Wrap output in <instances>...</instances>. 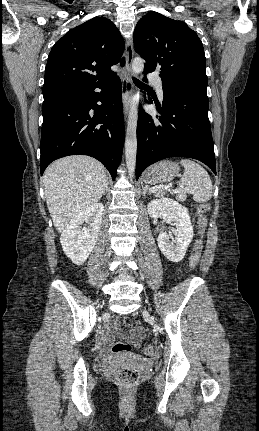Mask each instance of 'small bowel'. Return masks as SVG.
<instances>
[{
    "label": "small bowel",
    "mask_w": 259,
    "mask_h": 431,
    "mask_svg": "<svg viewBox=\"0 0 259 431\" xmlns=\"http://www.w3.org/2000/svg\"><path fill=\"white\" fill-rule=\"evenodd\" d=\"M116 329V325L115 324H110L105 332L102 334V339L104 343H109L112 340L114 331ZM141 335V330L137 329L131 336H130V340L131 342L135 345L138 346L140 343L139 337Z\"/></svg>",
    "instance_id": "c3829d8e"
}]
</instances>
